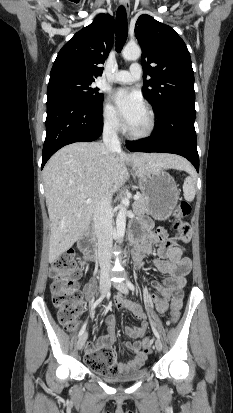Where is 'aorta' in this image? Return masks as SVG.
I'll return each instance as SVG.
<instances>
[{
	"label": "aorta",
	"instance_id": "762f6f07",
	"mask_svg": "<svg viewBox=\"0 0 233 413\" xmlns=\"http://www.w3.org/2000/svg\"><path fill=\"white\" fill-rule=\"evenodd\" d=\"M141 48L138 45H127L123 51L122 56L125 60H137L141 56ZM128 200L123 198L119 206V212L116 217V234L120 242H122L125 235L126 228V203Z\"/></svg>",
	"mask_w": 233,
	"mask_h": 413
}]
</instances>
